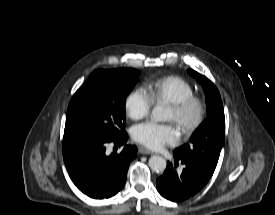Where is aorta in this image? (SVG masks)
<instances>
[{
	"label": "aorta",
	"mask_w": 275,
	"mask_h": 215,
	"mask_svg": "<svg viewBox=\"0 0 275 215\" xmlns=\"http://www.w3.org/2000/svg\"><path fill=\"white\" fill-rule=\"evenodd\" d=\"M152 119L156 122L167 119L166 110L162 106H156L152 110ZM149 166L154 172H163L166 169V160L158 155H153L149 159Z\"/></svg>",
	"instance_id": "762f6f07"
}]
</instances>
